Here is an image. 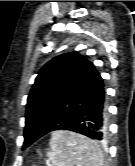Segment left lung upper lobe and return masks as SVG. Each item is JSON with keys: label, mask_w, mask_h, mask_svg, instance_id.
Instances as JSON below:
<instances>
[{"label": "left lung upper lobe", "mask_w": 135, "mask_h": 166, "mask_svg": "<svg viewBox=\"0 0 135 166\" xmlns=\"http://www.w3.org/2000/svg\"><path fill=\"white\" fill-rule=\"evenodd\" d=\"M87 59L77 52L59 55L39 71L28 95L26 122L44 124L65 107Z\"/></svg>", "instance_id": "obj_1"}]
</instances>
